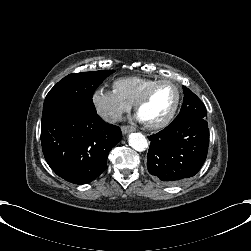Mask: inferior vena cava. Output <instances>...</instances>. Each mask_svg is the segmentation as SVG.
<instances>
[{
  "label": "inferior vena cava",
  "mask_w": 251,
  "mask_h": 251,
  "mask_svg": "<svg viewBox=\"0 0 251 251\" xmlns=\"http://www.w3.org/2000/svg\"><path fill=\"white\" fill-rule=\"evenodd\" d=\"M102 118L108 123H115L118 121H122V114L119 112H110L107 114H103Z\"/></svg>",
  "instance_id": "1"
}]
</instances>
